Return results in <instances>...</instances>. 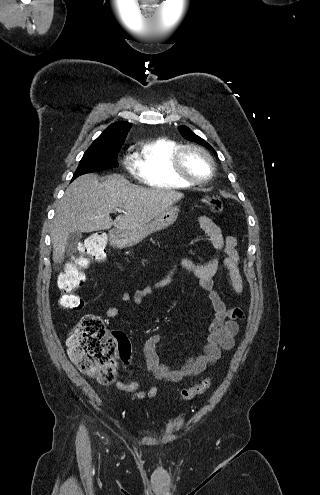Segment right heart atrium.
<instances>
[{
	"label": "right heart atrium",
	"instance_id": "right-heart-atrium-1",
	"mask_svg": "<svg viewBox=\"0 0 320 495\" xmlns=\"http://www.w3.org/2000/svg\"><path fill=\"white\" fill-rule=\"evenodd\" d=\"M125 164L126 165H129L130 164V160L128 158L125 159Z\"/></svg>",
	"mask_w": 320,
	"mask_h": 495
}]
</instances>
